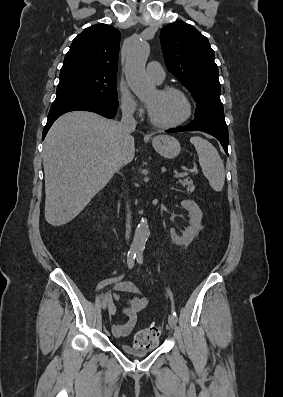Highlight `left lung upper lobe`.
<instances>
[{
  "mask_svg": "<svg viewBox=\"0 0 283 397\" xmlns=\"http://www.w3.org/2000/svg\"><path fill=\"white\" fill-rule=\"evenodd\" d=\"M160 41L167 69L196 102L195 117L224 119L218 67L208 39L192 25L176 21L161 29Z\"/></svg>",
  "mask_w": 283,
  "mask_h": 397,
  "instance_id": "obj_1",
  "label": "left lung upper lobe"
}]
</instances>
